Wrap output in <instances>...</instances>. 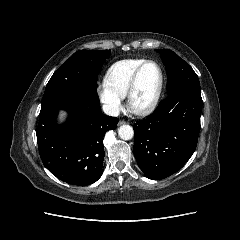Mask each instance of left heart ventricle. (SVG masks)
Returning <instances> with one entry per match:
<instances>
[{"label": "left heart ventricle", "instance_id": "left-heart-ventricle-1", "mask_svg": "<svg viewBox=\"0 0 240 240\" xmlns=\"http://www.w3.org/2000/svg\"><path fill=\"white\" fill-rule=\"evenodd\" d=\"M159 82V73L153 64L146 65L140 73L133 97L136 106L146 105L153 97Z\"/></svg>", "mask_w": 240, "mask_h": 240}]
</instances>
